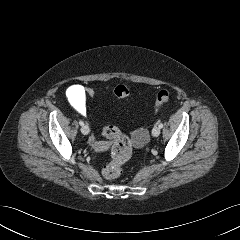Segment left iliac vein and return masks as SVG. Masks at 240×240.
<instances>
[{"mask_svg": "<svg viewBox=\"0 0 240 240\" xmlns=\"http://www.w3.org/2000/svg\"><path fill=\"white\" fill-rule=\"evenodd\" d=\"M160 134V128L158 126H155L153 129H152V135L157 137L159 136Z\"/></svg>", "mask_w": 240, "mask_h": 240, "instance_id": "4c4485c4", "label": "left iliac vein"}]
</instances>
